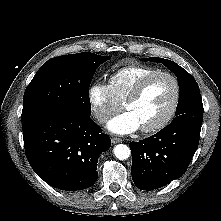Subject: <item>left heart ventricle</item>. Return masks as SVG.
Listing matches in <instances>:
<instances>
[{
    "label": "left heart ventricle",
    "instance_id": "obj_1",
    "mask_svg": "<svg viewBox=\"0 0 221 221\" xmlns=\"http://www.w3.org/2000/svg\"><path fill=\"white\" fill-rule=\"evenodd\" d=\"M174 97V85L170 78L157 76L145 87L141 96L127 105L140 127L157 123L168 112Z\"/></svg>",
    "mask_w": 221,
    "mask_h": 221
}]
</instances>
